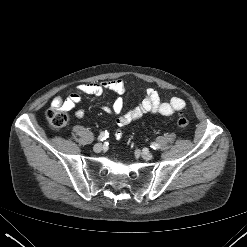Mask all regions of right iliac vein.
<instances>
[{"mask_svg":"<svg viewBox=\"0 0 247 247\" xmlns=\"http://www.w3.org/2000/svg\"><path fill=\"white\" fill-rule=\"evenodd\" d=\"M94 152L99 153L103 150V145L102 143H97L93 147Z\"/></svg>","mask_w":247,"mask_h":247,"instance_id":"obj_1","label":"right iliac vein"}]
</instances>
